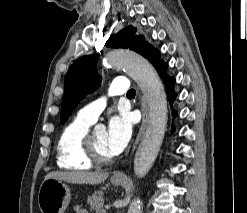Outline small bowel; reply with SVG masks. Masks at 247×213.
Segmentation results:
<instances>
[{
    "label": "small bowel",
    "mask_w": 247,
    "mask_h": 213,
    "mask_svg": "<svg viewBox=\"0 0 247 213\" xmlns=\"http://www.w3.org/2000/svg\"><path fill=\"white\" fill-rule=\"evenodd\" d=\"M76 213H86V211L80 207L76 209Z\"/></svg>",
    "instance_id": "c3829d8e"
}]
</instances>
